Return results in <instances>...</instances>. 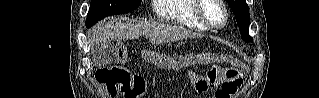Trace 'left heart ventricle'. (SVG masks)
Segmentation results:
<instances>
[{
	"label": "left heart ventricle",
	"mask_w": 319,
	"mask_h": 98,
	"mask_svg": "<svg viewBox=\"0 0 319 98\" xmlns=\"http://www.w3.org/2000/svg\"><path fill=\"white\" fill-rule=\"evenodd\" d=\"M204 13L214 23H221L223 20L222 9L213 1H208L205 4Z\"/></svg>",
	"instance_id": "1"
}]
</instances>
